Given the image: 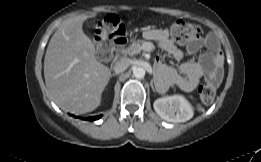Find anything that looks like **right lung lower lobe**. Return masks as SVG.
Returning a JSON list of instances; mask_svg holds the SVG:
<instances>
[{"label":"right lung lower lobe","instance_id":"1","mask_svg":"<svg viewBox=\"0 0 261 162\" xmlns=\"http://www.w3.org/2000/svg\"><path fill=\"white\" fill-rule=\"evenodd\" d=\"M100 117H101V115H99V116H93V117L85 118V120L94 121V120L99 119Z\"/></svg>","mask_w":261,"mask_h":162}]
</instances>
